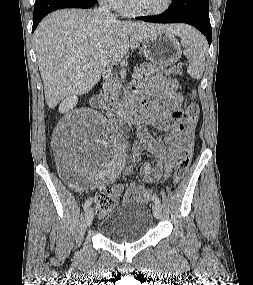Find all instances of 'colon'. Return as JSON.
I'll list each match as a JSON object with an SVG mask.
<instances>
[{"instance_id": "obj_1", "label": "colon", "mask_w": 253, "mask_h": 285, "mask_svg": "<svg viewBox=\"0 0 253 285\" xmlns=\"http://www.w3.org/2000/svg\"><path fill=\"white\" fill-rule=\"evenodd\" d=\"M195 93H192V101L186 108V117L188 122L191 124V131H194L196 124L199 120L200 108L195 102ZM193 157V144H190L182 155L173 176V184L177 185L180 183L190 167ZM153 195L152 190H148L146 193L147 197ZM117 203V198L111 193V191L103 192L99 194L95 199V206L99 213L103 214L111 207L115 206Z\"/></svg>"}]
</instances>
